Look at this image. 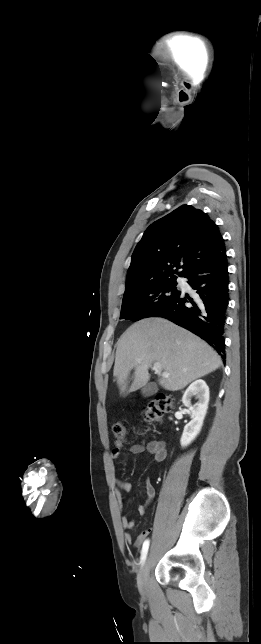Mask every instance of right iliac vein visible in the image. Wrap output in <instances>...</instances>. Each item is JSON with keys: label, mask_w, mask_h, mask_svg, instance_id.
Returning a JSON list of instances; mask_svg holds the SVG:
<instances>
[{"label": "right iliac vein", "mask_w": 261, "mask_h": 644, "mask_svg": "<svg viewBox=\"0 0 261 644\" xmlns=\"http://www.w3.org/2000/svg\"><path fill=\"white\" fill-rule=\"evenodd\" d=\"M151 559L147 557L144 561L141 571L138 575V588L142 596L148 595V578L150 572Z\"/></svg>", "instance_id": "right-iliac-vein-1"}]
</instances>
